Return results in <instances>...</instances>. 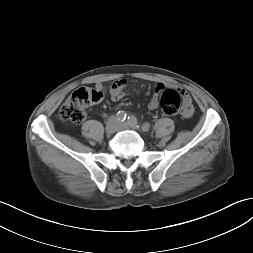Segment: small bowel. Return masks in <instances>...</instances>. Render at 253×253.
Returning <instances> with one entry per match:
<instances>
[{
  "instance_id": "small-bowel-1",
  "label": "small bowel",
  "mask_w": 253,
  "mask_h": 253,
  "mask_svg": "<svg viewBox=\"0 0 253 253\" xmlns=\"http://www.w3.org/2000/svg\"><path fill=\"white\" fill-rule=\"evenodd\" d=\"M127 85V81L125 79H119L112 83L110 87V96L112 100L118 101L121 100L124 96L123 88ZM166 84L164 83H157L154 87V93L151 97L148 108L150 110H155L159 107V95L165 89ZM96 88L99 90H104L102 84H97ZM180 92L183 100V105L181 107V114L185 118H191L195 114V109L192 106V99L191 97L182 89H177Z\"/></svg>"
}]
</instances>
